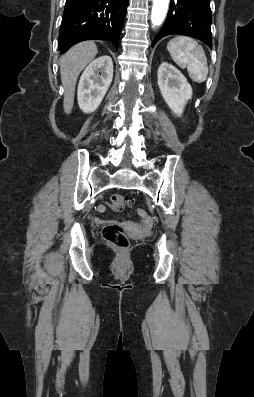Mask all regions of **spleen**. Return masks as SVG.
<instances>
[{
  "instance_id": "obj_1",
  "label": "spleen",
  "mask_w": 254,
  "mask_h": 397,
  "mask_svg": "<svg viewBox=\"0 0 254 397\" xmlns=\"http://www.w3.org/2000/svg\"><path fill=\"white\" fill-rule=\"evenodd\" d=\"M173 61L181 68H186L190 78L196 83H203L208 76V64L204 49L194 39L178 36L167 44Z\"/></svg>"
}]
</instances>
